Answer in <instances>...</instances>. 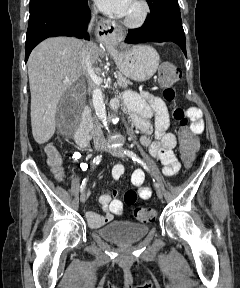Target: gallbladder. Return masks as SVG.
<instances>
[{
    "instance_id": "1",
    "label": "gallbladder",
    "mask_w": 240,
    "mask_h": 288,
    "mask_svg": "<svg viewBox=\"0 0 240 288\" xmlns=\"http://www.w3.org/2000/svg\"><path fill=\"white\" fill-rule=\"evenodd\" d=\"M76 110V106L70 101L67 94H64L57 107V120L61 121L62 118L70 117Z\"/></svg>"
}]
</instances>
